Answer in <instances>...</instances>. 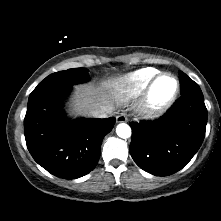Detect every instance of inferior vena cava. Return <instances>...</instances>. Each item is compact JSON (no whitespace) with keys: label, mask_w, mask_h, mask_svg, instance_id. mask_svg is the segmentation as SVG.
<instances>
[{"label":"inferior vena cava","mask_w":221,"mask_h":221,"mask_svg":"<svg viewBox=\"0 0 221 221\" xmlns=\"http://www.w3.org/2000/svg\"><path fill=\"white\" fill-rule=\"evenodd\" d=\"M113 110L108 107H100L93 109L89 112V114L95 118H107L109 114H111Z\"/></svg>","instance_id":"1"}]
</instances>
